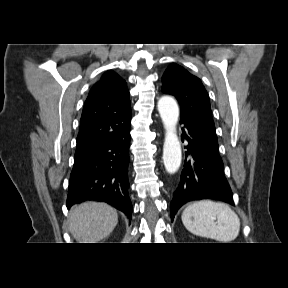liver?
I'll return each mask as SVG.
<instances>
[{
  "instance_id": "1",
  "label": "liver",
  "mask_w": 288,
  "mask_h": 288,
  "mask_svg": "<svg viewBox=\"0 0 288 288\" xmlns=\"http://www.w3.org/2000/svg\"><path fill=\"white\" fill-rule=\"evenodd\" d=\"M118 223L117 211L106 203L87 201L71 208L69 231L79 243H97Z\"/></svg>"
}]
</instances>
